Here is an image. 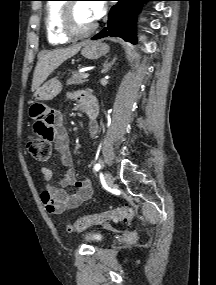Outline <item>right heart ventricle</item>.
I'll list each match as a JSON object with an SVG mask.
<instances>
[{
	"instance_id": "e07e8e85",
	"label": "right heart ventricle",
	"mask_w": 216,
	"mask_h": 285,
	"mask_svg": "<svg viewBox=\"0 0 216 285\" xmlns=\"http://www.w3.org/2000/svg\"><path fill=\"white\" fill-rule=\"evenodd\" d=\"M64 3L52 0L47 3L45 9V31L48 42L53 46L63 45L69 41L60 30V15Z\"/></svg>"
}]
</instances>
